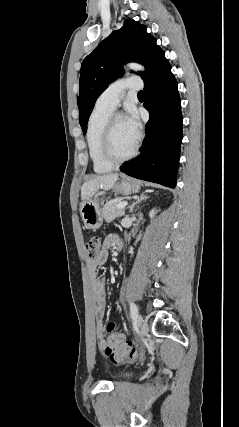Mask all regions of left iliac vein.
I'll return each mask as SVG.
<instances>
[{
  "mask_svg": "<svg viewBox=\"0 0 239 427\" xmlns=\"http://www.w3.org/2000/svg\"><path fill=\"white\" fill-rule=\"evenodd\" d=\"M137 324L139 326L141 335L145 336L148 333L149 327L147 322L143 320V317L141 315H138L137 317Z\"/></svg>",
  "mask_w": 239,
  "mask_h": 427,
  "instance_id": "left-iliac-vein-1",
  "label": "left iliac vein"
}]
</instances>
